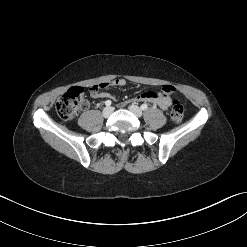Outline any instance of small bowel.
<instances>
[{
	"instance_id": "1",
	"label": "small bowel",
	"mask_w": 247,
	"mask_h": 247,
	"mask_svg": "<svg viewBox=\"0 0 247 247\" xmlns=\"http://www.w3.org/2000/svg\"><path fill=\"white\" fill-rule=\"evenodd\" d=\"M127 84L124 78H116L111 82V85L117 87H123ZM174 87L171 85H164L159 92H144L136 96L134 102H149L159 106L162 110L166 111L171 105V94L174 92ZM91 96L93 98H115L112 93L104 92L94 89L93 86L90 89Z\"/></svg>"
}]
</instances>
